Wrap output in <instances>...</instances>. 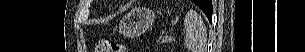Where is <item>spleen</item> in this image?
Segmentation results:
<instances>
[{
    "mask_svg": "<svg viewBox=\"0 0 305 52\" xmlns=\"http://www.w3.org/2000/svg\"><path fill=\"white\" fill-rule=\"evenodd\" d=\"M186 36L184 46L190 52H205L207 45V29L201 16L189 10L184 19Z\"/></svg>",
    "mask_w": 305,
    "mask_h": 52,
    "instance_id": "1",
    "label": "spleen"
}]
</instances>
